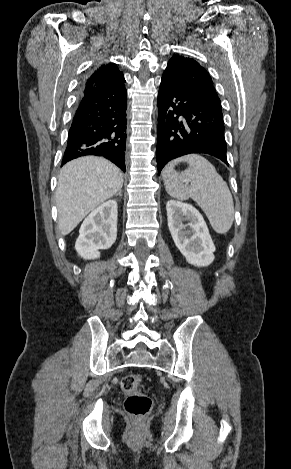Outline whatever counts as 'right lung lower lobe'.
<instances>
[{"label":"right lung lower lobe","mask_w":291,"mask_h":469,"mask_svg":"<svg viewBox=\"0 0 291 469\" xmlns=\"http://www.w3.org/2000/svg\"><path fill=\"white\" fill-rule=\"evenodd\" d=\"M126 89H98L81 94L69 130L62 165L96 155L125 172Z\"/></svg>","instance_id":"obj_1"}]
</instances>
